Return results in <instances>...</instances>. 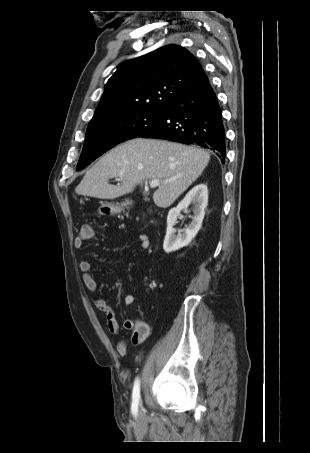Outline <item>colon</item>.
Segmentation results:
<instances>
[{
    "label": "colon",
    "instance_id": "5ec220e1",
    "mask_svg": "<svg viewBox=\"0 0 310 453\" xmlns=\"http://www.w3.org/2000/svg\"><path fill=\"white\" fill-rule=\"evenodd\" d=\"M91 234H92V227L89 224H84L81 228V235L84 238H87V237L91 236Z\"/></svg>",
    "mask_w": 310,
    "mask_h": 453
}]
</instances>
